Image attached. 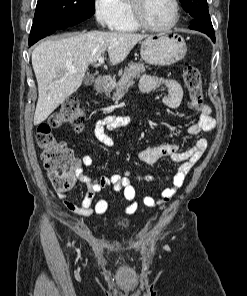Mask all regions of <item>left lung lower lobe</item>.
Returning a JSON list of instances; mask_svg holds the SVG:
<instances>
[{"label": "left lung lower lobe", "instance_id": "left-lung-lower-lobe-1", "mask_svg": "<svg viewBox=\"0 0 247 296\" xmlns=\"http://www.w3.org/2000/svg\"><path fill=\"white\" fill-rule=\"evenodd\" d=\"M190 28L207 34L209 37H211L212 41L215 42V33L209 13H203L199 16H196L193 23L190 25Z\"/></svg>", "mask_w": 247, "mask_h": 296}]
</instances>
